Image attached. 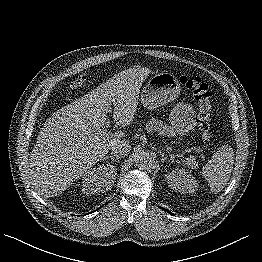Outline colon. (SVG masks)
Masks as SVG:
<instances>
[{"instance_id": "1", "label": "colon", "mask_w": 262, "mask_h": 262, "mask_svg": "<svg viewBox=\"0 0 262 262\" xmlns=\"http://www.w3.org/2000/svg\"><path fill=\"white\" fill-rule=\"evenodd\" d=\"M180 82L194 95L198 103L197 124L200 129L203 143L209 147L212 143L210 136L211 128V93L209 86L200 77L182 76ZM87 83L86 77L77 78L71 85L72 89H79Z\"/></svg>"}]
</instances>
